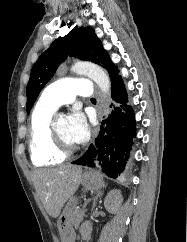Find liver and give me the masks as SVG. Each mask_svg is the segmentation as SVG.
<instances>
[{
    "mask_svg": "<svg viewBox=\"0 0 187 242\" xmlns=\"http://www.w3.org/2000/svg\"><path fill=\"white\" fill-rule=\"evenodd\" d=\"M81 177L82 168L77 165L37 169L33 172L36 192L51 217L57 218L60 215L65 202L78 189Z\"/></svg>",
    "mask_w": 187,
    "mask_h": 242,
    "instance_id": "liver-1",
    "label": "liver"
}]
</instances>
